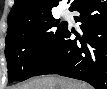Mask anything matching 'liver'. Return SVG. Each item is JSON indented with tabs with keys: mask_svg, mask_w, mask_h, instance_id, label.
Wrapping results in <instances>:
<instances>
[{
	"mask_svg": "<svg viewBox=\"0 0 107 89\" xmlns=\"http://www.w3.org/2000/svg\"><path fill=\"white\" fill-rule=\"evenodd\" d=\"M11 89H92L86 83L56 76H42L13 86Z\"/></svg>",
	"mask_w": 107,
	"mask_h": 89,
	"instance_id": "6515ba94",
	"label": "liver"
}]
</instances>
